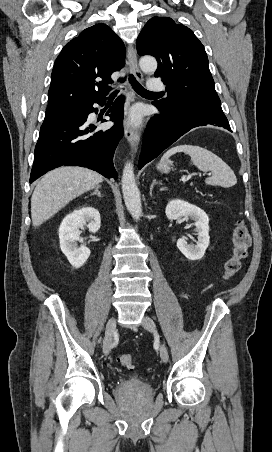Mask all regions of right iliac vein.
Listing matches in <instances>:
<instances>
[{
    "label": "right iliac vein",
    "instance_id": "right-iliac-vein-1",
    "mask_svg": "<svg viewBox=\"0 0 272 452\" xmlns=\"http://www.w3.org/2000/svg\"><path fill=\"white\" fill-rule=\"evenodd\" d=\"M115 328H116V320H115V318H110L106 325L104 345H103V352L106 356L110 353Z\"/></svg>",
    "mask_w": 272,
    "mask_h": 452
}]
</instances>
